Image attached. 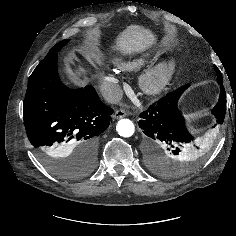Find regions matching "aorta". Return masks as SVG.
I'll list each match as a JSON object with an SVG mask.
<instances>
[{
	"mask_svg": "<svg viewBox=\"0 0 236 236\" xmlns=\"http://www.w3.org/2000/svg\"><path fill=\"white\" fill-rule=\"evenodd\" d=\"M117 133L122 137H131L134 134L135 126L129 119H121L116 125Z\"/></svg>",
	"mask_w": 236,
	"mask_h": 236,
	"instance_id": "762f6f07",
	"label": "aorta"
}]
</instances>
